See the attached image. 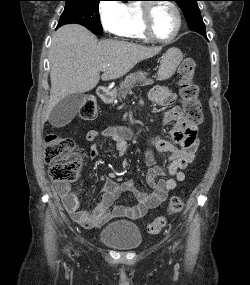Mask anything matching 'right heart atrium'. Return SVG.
<instances>
[{
    "mask_svg": "<svg viewBox=\"0 0 250 285\" xmlns=\"http://www.w3.org/2000/svg\"><path fill=\"white\" fill-rule=\"evenodd\" d=\"M99 17L103 29L120 35L126 20V5L120 0H105L99 5Z\"/></svg>",
    "mask_w": 250,
    "mask_h": 285,
    "instance_id": "d8ad5b80",
    "label": "right heart atrium"
}]
</instances>
